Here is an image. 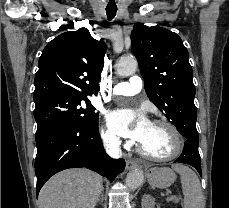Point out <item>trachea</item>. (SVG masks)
Segmentation results:
<instances>
[{
	"mask_svg": "<svg viewBox=\"0 0 229 208\" xmlns=\"http://www.w3.org/2000/svg\"><path fill=\"white\" fill-rule=\"evenodd\" d=\"M117 7H106V14L108 20H112L116 16Z\"/></svg>",
	"mask_w": 229,
	"mask_h": 208,
	"instance_id": "trachea-1",
	"label": "trachea"
}]
</instances>
